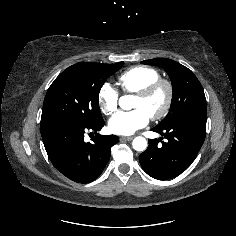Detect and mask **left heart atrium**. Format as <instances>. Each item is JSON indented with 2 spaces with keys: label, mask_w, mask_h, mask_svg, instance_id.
Segmentation results:
<instances>
[{
  "label": "left heart atrium",
  "mask_w": 236,
  "mask_h": 236,
  "mask_svg": "<svg viewBox=\"0 0 236 236\" xmlns=\"http://www.w3.org/2000/svg\"><path fill=\"white\" fill-rule=\"evenodd\" d=\"M150 120L148 113L136 108L128 112H119L109 121V129L118 135H130L145 127Z\"/></svg>",
  "instance_id": "1"
}]
</instances>
